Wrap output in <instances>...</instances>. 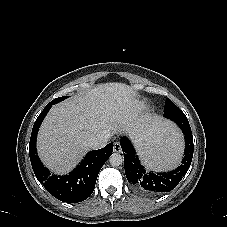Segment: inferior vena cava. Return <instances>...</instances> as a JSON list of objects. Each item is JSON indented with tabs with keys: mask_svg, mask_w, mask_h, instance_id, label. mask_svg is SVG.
I'll return each instance as SVG.
<instances>
[{
	"mask_svg": "<svg viewBox=\"0 0 227 227\" xmlns=\"http://www.w3.org/2000/svg\"><path fill=\"white\" fill-rule=\"evenodd\" d=\"M109 138H110V134L109 133L99 134L97 136H94V137L90 138V140L87 143V146L90 149L103 148L108 143Z\"/></svg>",
	"mask_w": 227,
	"mask_h": 227,
	"instance_id": "602c4592",
	"label": "inferior vena cava"
}]
</instances>
